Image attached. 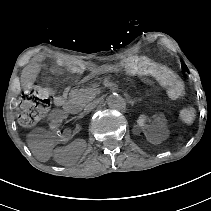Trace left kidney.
Masks as SVG:
<instances>
[{
	"label": "left kidney",
	"instance_id": "obj_1",
	"mask_svg": "<svg viewBox=\"0 0 211 211\" xmlns=\"http://www.w3.org/2000/svg\"><path fill=\"white\" fill-rule=\"evenodd\" d=\"M167 123V116L164 113H157L154 116V121H150L147 124V119L144 116H139L136 119L135 129L138 133L145 135L148 142L151 140L147 137L149 132L159 131L165 128Z\"/></svg>",
	"mask_w": 211,
	"mask_h": 211
}]
</instances>
